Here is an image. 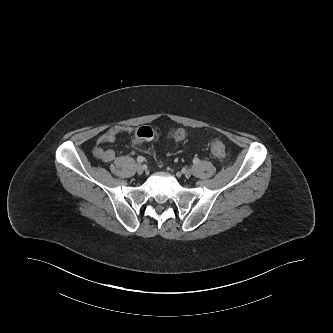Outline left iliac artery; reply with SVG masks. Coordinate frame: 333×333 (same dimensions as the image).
Returning a JSON list of instances; mask_svg holds the SVG:
<instances>
[{"label": "left iliac artery", "instance_id": "left-iliac-artery-1", "mask_svg": "<svg viewBox=\"0 0 333 333\" xmlns=\"http://www.w3.org/2000/svg\"><path fill=\"white\" fill-rule=\"evenodd\" d=\"M193 163H194V164H198V163H199V159H198V158H194V159H193Z\"/></svg>", "mask_w": 333, "mask_h": 333}]
</instances>
